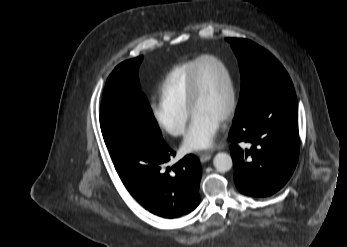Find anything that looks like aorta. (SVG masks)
Segmentation results:
<instances>
[{"instance_id": "obj_1", "label": "aorta", "mask_w": 347, "mask_h": 247, "mask_svg": "<svg viewBox=\"0 0 347 247\" xmlns=\"http://www.w3.org/2000/svg\"><path fill=\"white\" fill-rule=\"evenodd\" d=\"M213 164L219 172H227L231 170L233 166V161L229 154L220 152L215 155L213 159Z\"/></svg>"}]
</instances>
